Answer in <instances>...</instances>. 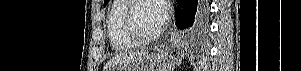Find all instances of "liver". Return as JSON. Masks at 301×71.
Here are the masks:
<instances>
[{"mask_svg":"<svg viewBox=\"0 0 301 71\" xmlns=\"http://www.w3.org/2000/svg\"><path fill=\"white\" fill-rule=\"evenodd\" d=\"M146 54V51H136L116 55L105 64L103 71L111 70L112 68L123 64L139 61L144 58Z\"/></svg>","mask_w":301,"mask_h":71,"instance_id":"1","label":"liver"}]
</instances>
